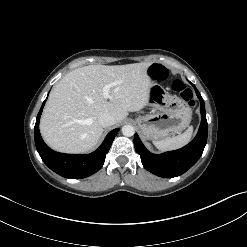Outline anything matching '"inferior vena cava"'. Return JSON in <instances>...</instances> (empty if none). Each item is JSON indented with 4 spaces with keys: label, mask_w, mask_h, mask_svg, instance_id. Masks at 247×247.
Returning a JSON list of instances; mask_svg holds the SVG:
<instances>
[{
    "label": "inferior vena cava",
    "mask_w": 247,
    "mask_h": 247,
    "mask_svg": "<svg viewBox=\"0 0 247 247\" xmlns=\"http://www.w3.org/2000/svg\"><path fill=\"white\" fill-rule=\"evenodd\" d=\"M115 122H116V120H115L114 116L111 115L110 113H102L98 117V123L102 127H108V126L114 125Z\"/></svg>",
    "instance_id": "1"
}]
</instances>
